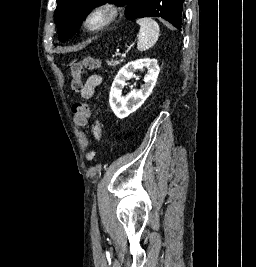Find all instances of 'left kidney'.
<instances>
[{
  "mask_svg": "<svg viewBox=\"0 0 256 267\" xmlns=\"http://www.w3.org/2000/svg\"><path fill=\"white\" fill-rule=\"evenodd\" d=\"M147 68L148 72L144 76V84L141 90H132L126 98L122 96V88L128 86L127 80L134 78L133 74L136 70H143ZM160 68L157 60H150V58H143V60H135V62H128L121 70H119L110 90L109 104L117 118H127L129 114L135 112L144 104L146 98L150 96L158 78ZM133 88V86H129Z\"/></svg>",
  "mask_w": 256,
  "mask_h": 267,
  "instance_id": "left-kidney-1",
  "label": "left kidney"
}]
</instances>
